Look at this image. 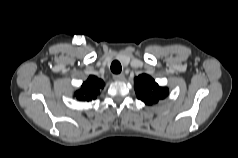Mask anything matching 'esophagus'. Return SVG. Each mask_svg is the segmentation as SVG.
Returning a JSON list of instances; mask_svg holds the SVG:
<instances>
[{
	"label": "esophagus",
	"mask_w": 238,
	"mask_h": 158,
	"mask_svg": "<svg viewBox=\"0 0 238 158\" xmlns=\"http://www.w3.org/2000/svg\"><path fill=\"white\" fill-rule=\"evenodd\" d=\"M113 79L116 81H122V80H124V74H115L113 76Z\"/></svg>",
	"instance_id": "1"
}]
</instances>
